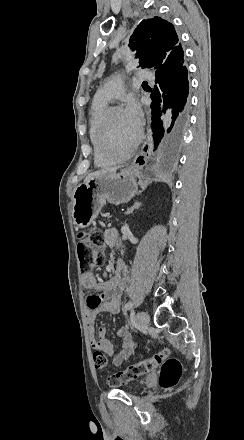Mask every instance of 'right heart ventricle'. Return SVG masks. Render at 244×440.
<instances>
[{
	"instance_id": "e07e8e85",
	"label": "right heart ventricle",
	"mask_w": 244,
	"mask_h": 440,
	"mask_svg": "<svg viewBox=\"0 0 244 440\" xmlns=\"http://www.w3.org/2000/svg\"><path fill=\"white\" fill-rule=\"evenodd\" d=\"M107 109V102H95L93 100L91 106V119H90V139L95 149V163L100 168H110L113 167L118 162V155L116 154H102L99 150L98 132L99 125L103 122V115ZM130 134L133 135L134 132L130 128ZM105 138V137H104ZM108 147V143H106ZM112 149H117L116 146H110Z\"/></svg>"
}]
</instances>
